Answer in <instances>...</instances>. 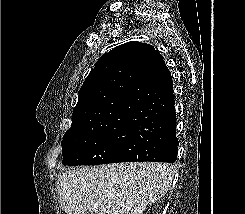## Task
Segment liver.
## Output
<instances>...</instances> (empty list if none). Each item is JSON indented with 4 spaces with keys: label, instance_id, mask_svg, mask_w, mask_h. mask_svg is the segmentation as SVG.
Listing matches in <instances>:
<instances>
[{
    "label": "liver",
    "instance_id": "1",
    "mask_svg": "<svg viewBox=\"0 0 245 214\" xmlns=\"http://www.w3.org/2000/svg\"><path fill=\"white\" fill-rule=\"evenodd\" d=\"M175 169L161 163H120L81 167L60 175L59 204L67 214H143L160 201Z\"/></svg>",
    "mask_w": 245,
    "mask_h": 214
}]
</instances>
